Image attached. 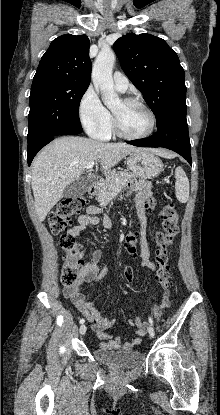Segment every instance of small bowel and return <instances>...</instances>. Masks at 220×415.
<instances>
[{"mask_svg": "<svg viewBox=\"0 0 220 415\" xmlns=\"http://www.w3.org/2000/svg\"><path fill=\"white\" fill-rule=\"evenodd\" d=\"M130 191L137 192L135 209L139 222V231L138 233L130 232L127 234L125 238V247L131 245L136 246L139 242L138 256L142 261V266L156 272V266L150 260V247L147 233V209L154 206L149 183L145 180H140ZM100 212L101 209L98 206L89 205L86 208L85 213L78 217L77 224L69 230V234L78 237L87 227L99 224L101 220L98 217V214ZM102 224L105 227L111 226V218H104ZM81 257H83V252H80V258ZM102 259L103 252L98 249L94 250L92 252V259L83 262L79 279L74 285L66 287L63 294L88 322L93 323L92 330L99 339L105 341L101 342L100 346L107 349L131 350L141 344L142 337L147 333L148 324L140 318L130 319L128 321L129 325L136 327L135 337L130 341L122 342L119 337L114 338L108 333V330L116 324V320L102 315L97 307L91 301L86 299L85 294L82 292V287L85 284L94 283L108 273V268L101 266L100 264Z\"/></svg>", "mask_w": 220, "mask_h": 415, "instance_id": "obj_1", "label": "small bowel"}]
</instances>
